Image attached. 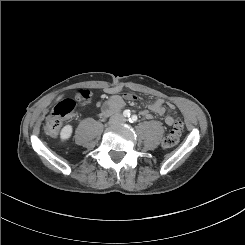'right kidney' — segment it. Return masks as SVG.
I'll use <instances>...</instances> for the list:
<instances>
[{
  "instance_id": "1",
  "label": "right kidney",
  "mask_w": 245,
  "mask_h": 245,
  "mask_svg": "<svg viewBox=\"0 0 245 245\" xmlns=\"http://www.w3.org/2000/svg\"><path fill=\"white\" fill-rule=\"evenodd\" d=\"M73 132V128L71 125L64 126L60 131V139L62 142L68 140Z\"/></svg>"
}]
</instances>
